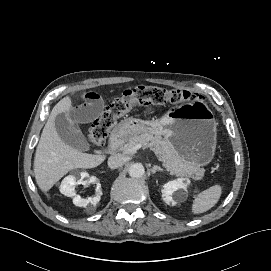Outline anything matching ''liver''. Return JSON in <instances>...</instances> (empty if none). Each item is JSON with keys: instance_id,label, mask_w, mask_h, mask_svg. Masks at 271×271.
Masks as SVG:
<instances>
[{"instance_id": "obj_1", "label": "liver", "mask_w": 271, "mask_h": 271, "mask_svg": "<svg viewBox=\"0 0 271 271\" xmlns=\"http://www.w3.org/2000/svg\"><path fill=\"white\" fill-rule=\"evenodd\" d=\"M71 109V98L64 97L54 106L43 128L34 158L35 179L43 192L49 191L69 171L95 168L106 158L104 155L80 152L60 138L54 120L57 115L68 113Z\"/></svg>"}]
</instances>
